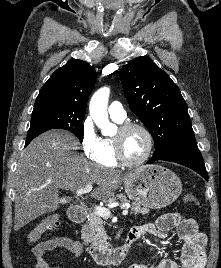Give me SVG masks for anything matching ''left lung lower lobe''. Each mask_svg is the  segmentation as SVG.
<instances>
[{
  "mask_svg": "<svg viewBox=\"0 0 221 268\" xmlns=\"http://www.w3.org/2000/svg\"><path fill=\"white\" fill-rule=\"evenodd\" d=\"M158 160L170 161L184 165L196 171L208 180L205 164L195 140L176 144L164 155L158 157L153 156L147 164H151Z\"/></svg>",
  "mask_w": 221,
  "mask_h": 268,
  "instance_id": "obj_1",
  "label": "left lung lower lobe"
}]
</instances>
